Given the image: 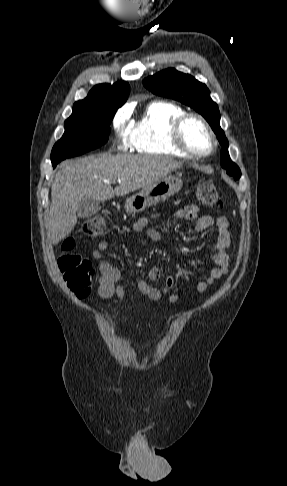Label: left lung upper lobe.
I'll return each mask as SVG.
<instances>
[{
  "label": "left lung upper lobe",
  "mask_w": 287,
  "mask_h": 486,
  "mask_svg": "<svg viewBox=\"0 0 287 486\" xmlns=\"http://www.w3.org/2000/svg\"><path fill=\"white\" fill-rule=\"evenodd\" d=\"M144 86L152 93L180 101L200 113L210 124L222 145L221 166L227 174L239 179L241 171L231 161L228 153V140L220 127V112L217 104L211 99L210 91L205 84L188 74L173 68L160 71L143 80Z\"/></svg>",
  "instance_id": "5c2ea615"
}]
</instances>
